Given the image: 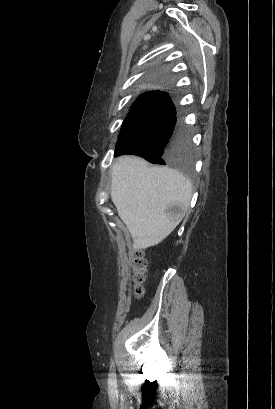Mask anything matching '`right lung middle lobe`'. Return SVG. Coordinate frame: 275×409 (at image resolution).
<instances>
[{
    "label": "right lung middle lobe",
    "instance_id": "obj_1",
    "mask_svg": "<svg viewBox=\"0 0 275 409\" xmlns=\"http://www.w3.org/2000/svg\"><path fill=\"white\" fill-rule=\"evenodd\" d=\"M153 79L179 78L174 70H153ZM132 154L153 164L174 167L181 178L197 182L194 177L196 152L190 143V132L183 125L181 113L166 93L141 95L125 118L115 148V156Z\"/></svg>",
    "mask_w": 275,
    "mask_h": 409
}]
</instances>
